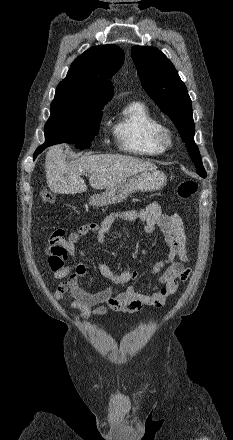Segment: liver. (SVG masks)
<instances>
[{
    "instance_id": "liver-1",
    "label": "liver",
    "mask_w": 233,
    "mask_h": 440,
    "mask_svg": "<svg viewBox=\"0 0 233 440\" xmlns=\"http://www.w3.org/2000/svg\"><path fill=\"white\" fill-rule=\"evenodd\" d=\"M63 149V145H56L46 153L47 184L54 193L86 192L87 185L82 175L87 173H90V185L94 189L102 190L112 188L133 175L157 168L149 161L114 154L82 156L68 163Z\"/></svg>"
}]
</instances>
